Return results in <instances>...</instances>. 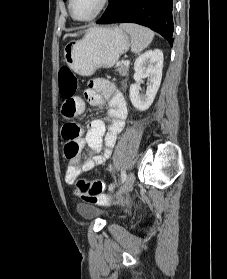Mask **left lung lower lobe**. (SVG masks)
Returning <instances> with one entry per match:
<instances>
[{
    "label": "left lung lower lobe",
    "instance_id": "1",
    "mask_svg": "<svg viewBox=\"0 0 227 279\" xmlns=\"http://www.w3.org/2000/svg\"><path fill=\"white\" fill-rule=\"evenodd\" d=\"M173 0H109L98 24L137 23L162 35L173 44Z\"/></svg>",
    "mask_w": 227,
    "mask_h": 279
}]
</instances>
